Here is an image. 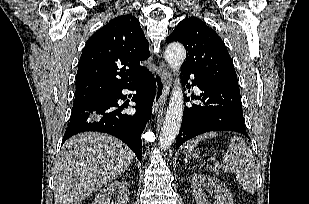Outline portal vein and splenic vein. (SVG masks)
<instances>
[{"mask_svg":"<svg viewBox=\"0 0 309 204\" xmlns=\"http://www.w3.org/2000/svg\"><path fill=\"white\" fill-rule=\"evenodd\" d=\"M219 167H221V166H220L219 163L216 161V163H215V165H214V168H219Z\"/></svg>","mask_w":309,"mask_h":204,"instance_id":"1","label":"portal vein and splenic vein"}]
</instances>
